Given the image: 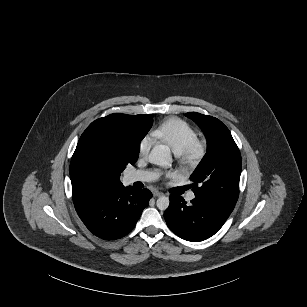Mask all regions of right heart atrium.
I'll return each mask as SVG.
<instances>
[{
    "instance_id": "obj_1",
    "label": "right heart atrium",
    "mask_w": 307,
    "mask_h": 307,
    "mask_svg": "<svg viewBox=\"0 0 307 307\" xmlns=\"http://www.w3.org/2000/svg\"><path fill=\"white\" fill-rule=\"evenodd\" d=\"M155 142L152 137H145L140 142L139 148H138V155L140 157H145L151 148L154 146Z\"/></svg>"
}]
</instances>
